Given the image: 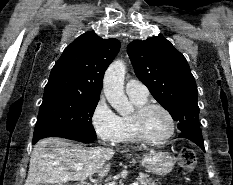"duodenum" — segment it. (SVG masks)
I'll return each instance as SVG.
<instances>
[{"label": "duodenum", "instance_id": "1", "mask_svg": "<svg viewBox=\"0 0 233 185\" xmlns=\"http://www.w3.org/2000/svg\"><path fill=\"white\" fill-rule=\"evenodd\" d=\"M80 185H89V184H80Z\"/></svg>", "mask_w": 233, "mask_h": 185}]
</instances>
